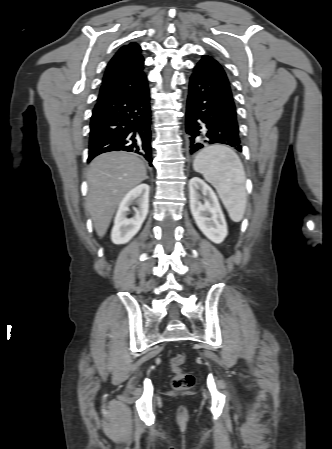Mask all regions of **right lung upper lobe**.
Segmentation results:
<instances>
[{
  "instance_id": "obj_1",
  "label": "right lung upper lobe",
  "mask_w": 332,
  "mask_h": 449,
  "mask_svg": "<svg viewBox=\"0 0 332 449\" xmlns=\"http://www.w3.org/2000/svg\"><path fill=\"white\" fill-rule=\"evenodd\" d=\"M136 43L123 46L109 62L97 101L123 99L144 91L147 84L143 72L144 58Z\"/></svg>"
}]
</instances>
